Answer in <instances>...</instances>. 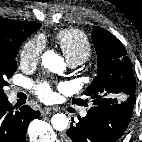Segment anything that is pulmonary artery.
Returning a JSON list of instances; mask_svg holds the SVG:
<instances>
[{"label":"pulmonary artery","instance_id":"obj_1","mask_svg":"<svg viewBox=\"0 0 142 142\" xmlns=\"http://www.w3.org/2000/svg\"><path fill=\"white\" fill-rule=\"evenodd\" d=\"M69 63V65L71 66V67H75V66H77L79 63H77V62H68ZM15 97H16V92L13 90V91H11L10 92V94H9V99H10V101H13L14 99H15ZM87 115V111L86 110H82L81 112H80V116L81 117H85Z\"/></svg>","mask_w":142,"mask_h":142}]
</instances>
